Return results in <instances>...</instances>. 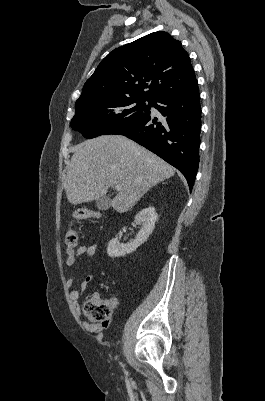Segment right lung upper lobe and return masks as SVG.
Returning a JSON list of instances; mask_svg holds the SVG:
<instances>
[{"mask_svg": "<svg viewBox=\"0 0 265 401\" xmlns=\"http://www.w3.org/2000/svg\"><path fill=\"white\" fill-rule=\"evenodd\" d=\"M196 82L181 42L167 32H154L110 52L84 84L75 106L102 97L156 101Z\"/></svg>", "mask_w": 265, "mask_h": 401, "instance_id": "right-lung-upper-lobe-1", "label": "right lung upper lobe"}]
</instances>
